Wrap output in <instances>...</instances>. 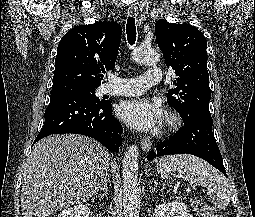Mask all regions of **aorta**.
Returning <instances> with one entry per match:
<instances>
[{"label":"aorta","instance_id":"obj_1","mask_svg":"<svg viewBox=\"0 0 255 217\" xmlns=\"http://www.w3.org/2000/svg\"><path fill=\"white\" fill-rule=\"evenodd\" d=\"M131 55L132 59L139 64L151 65L159 61L158 52L152 48L137 47ZM138 160V146H129L125 152L122 166L123 208L125 217H139Z\"/></svg>","mask_w":255,"mask_h":217}]
</instances>
